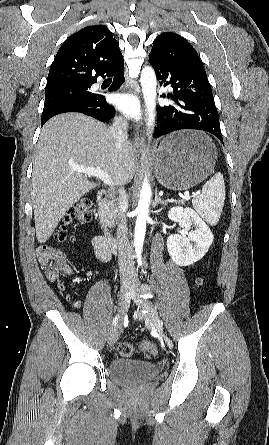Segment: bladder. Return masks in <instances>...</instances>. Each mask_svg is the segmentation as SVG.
<instances>
[{
	"instance_id": "bladder-1",
	"label": "bladder",
	"mask_w": 269,
	"mask_h": 445,
	"mask_svg": "<svg viewBox=\"0 0 269 445\" xmlns=\"http://www.w3.org/2000/svg\"><path fill=\"white\" fill-rule=\"evenodd\" d=\"M160 373L157 365L131 359H115L110 363L111 378L123 383H143L156 378Z\"/></svg>"
}]
</instances>
